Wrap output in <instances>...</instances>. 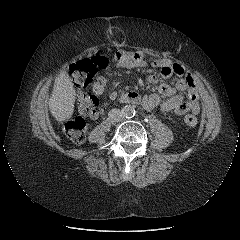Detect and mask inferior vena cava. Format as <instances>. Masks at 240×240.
I'll list each match as a JSON object with an SVG mask.
<instances>
[{
  "label": "inferior vena cava",
  "instance_id": "inferior-vena-cava-1",
  "mask_svg": "<svg viewBox=\"0 0 240 240\" xmlns=\"http://www.w3.org/2000/svg\"><path fill=\"white\" fill-rule=\"evenodd\" d=\"M108 117L112 122H120L123 120L124 115H123L122 111H120L119 109H112L108 113Z\"/></svg>",
  "mask_w": 240,
  "mask_h": 240
}]
</instances>
